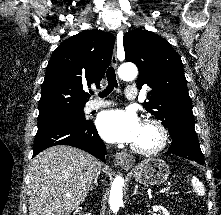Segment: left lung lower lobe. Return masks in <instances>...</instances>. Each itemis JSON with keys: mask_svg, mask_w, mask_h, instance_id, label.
I'll list each match as a JSON object with an SVG mask.
<instances>
[{"mask_svg": "<svg viewBox=\"0 0 221 215\" xmlns=\"http://www.w3.org/2000/svg\"><path fill=\"white\" fill-rule=\"evenodd\" d=\"M172 143L165 154H174L204 165V156L200 149L197 134L193 129L169 131Z\"/></svg>", "mask_w": 221, "mask_h": 215, "instance_id": "left-lung-lower-lobe-1", "label": "left lung lower lobe"}]
</instances>
